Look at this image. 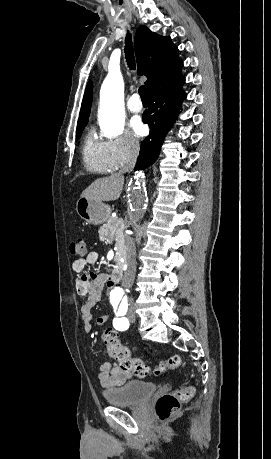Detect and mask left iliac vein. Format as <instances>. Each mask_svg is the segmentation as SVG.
<instances>
[{
    "instance_id": "1",
    "label": "left iliac vein",
    "mask_w": 271,
    "mask_h": 459,
    "mask_svg": "<svg viewBox=\"0 0 271 459\" xmlns=\"http://www.w3.org/2000/svg\"><path fill=\"white\" fill-rule=\"evenodd\" d=\"M127 317H128V319H129L130 322H134L135 317H134V312H133V310L130 309V310L128 311Z\"/></svg>"
}]
</instances>
